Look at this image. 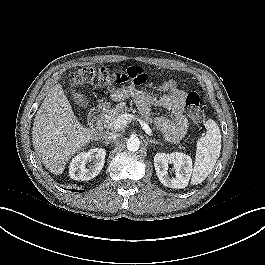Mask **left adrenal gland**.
<instances>
[{
    "label": "left adrenal gland",
    "mask_w": 265,
    "mask_h": 265,
    "mask_svg": "<svg viewBox=\"0 0 265 265\" xmlns=\"http://www.w3.org/2000/svg\"><path fill=\"white\" fill-rule=\"evenodd\" d=\"M147 143H154V144H160L163 145L162 143H160L159 141H156L155 139H146Z\"/></svg>",
    "instance_id": "a2214340"
}]
</instances>
